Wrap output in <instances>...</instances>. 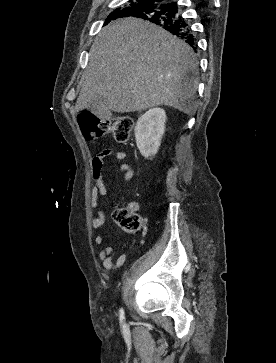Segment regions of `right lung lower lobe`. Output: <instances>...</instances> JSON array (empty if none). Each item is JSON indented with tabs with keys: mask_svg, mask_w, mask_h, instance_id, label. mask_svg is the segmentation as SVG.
<instances>
[{
	"mask_svg": "<svg viewBox=\"0 0 276 363\" xmlns=\"http://www.w3.org/2000/svg\"><path fill=\"white\" fill-rule=\"evenodd\" d=\"M134 17L151 21L163 27L195 49V38L187 20L182 17L176 2L163 1L161 4L140 12Z\"/></svg>",
	"mask_w": 276,
	"mask_h": 363,
	"instance_id": "98d812e1",
	"label": "right lung lower lobe"
}]
</instances>
